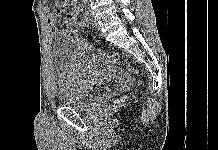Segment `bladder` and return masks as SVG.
<instances>
[{
	"label": "bladder",
	"mask_w": 218,
	"mask_h": 150,
	"mask_svg": "<svg viewBox=\"0 0 218 150\" xmlns=\"http://www.w3.org/2000/svg\"><path fill=\"white\" fill-rule=\"evenodd\" d=\"M53 55L57 66V102L65 107H87L101 68L106 65L89 61L83 43L78 40L56 41Z\"/></svg>",
	"instance_id": "bladder-1"
}]
</instances>
